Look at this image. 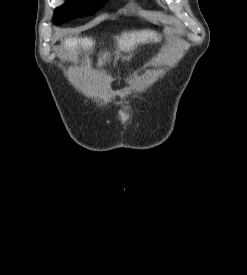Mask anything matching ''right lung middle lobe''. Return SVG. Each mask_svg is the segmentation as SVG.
<instances>
[{"instance_id":"right-lung-middle-lobe-1","label":"right lung middle lobe","mask_w":247,"mask_h":275,"mask_svg":"<svg viewBox=\"0 0 247 275\" xmlns=\"http://www.w3.org/2000/svg\"><path fill=\"white\" fill-rule=\"evenodd\" d=\"M107 0H67L55 10L54 23H62L78 17L94 14Z\"/></svg>"}]
</instances>
